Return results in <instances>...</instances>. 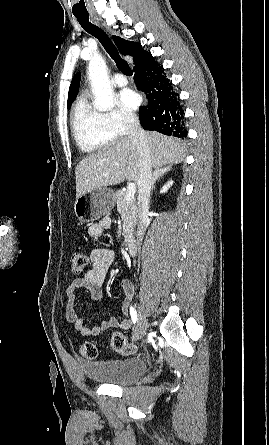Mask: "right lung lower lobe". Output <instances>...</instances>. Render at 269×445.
Wrapping results in <instances>:
<instances>
[{
  "mask_svg": "<svg viewBox=\"0 0 269 445\" xmlns=\"http://www.w3.org/2000/svg\"><path fill=\"white\" fill-rule=\"evenodd\" d=\"M134 72L137 89L148 99V104L139 109L141 126L168 136L186 137L188 131L183 124L184 110L179 94L165 75L163 66L151 57L135 66Z\"/></svg>",
  "mask_w": 269,
  "mask_h": 445,
  "instance_id": "obj_1",
  "label": "right lung lower lobe"
}]
</instances>
